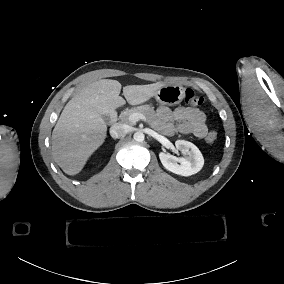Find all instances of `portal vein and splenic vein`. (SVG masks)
<instances>
[{"instance_id":"1","label":"portal vein and splenic vein","mask_w":284,"mask_h":284,"mask_svg":"<svg viewBox=\"0 0 284 284\" xmlns=\"http://www.w3.org/2000/svg\"><path fill=\"white\" fill-rule=\"evenodd\" d=\"M143 120L144 122H147V118L145 115L141 114V113H132L129 115L128 117V121L130 123H136L138 122L139 120Z\"/></svg>"}]
</instances>
